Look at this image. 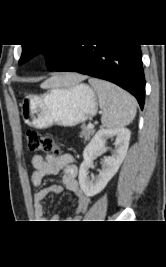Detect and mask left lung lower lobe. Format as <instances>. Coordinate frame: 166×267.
<instances>
[{"label": "left lung lower lobe", "mask_w": 166, "mask_h": 267, "mask_svg": "<svg viewBox=\"0 0 166 267\" xmlns=\"http://www.w3.org/2000/svg\"><path fill=\"white\" fill-rule=\"evenodd\" d=\"M51 71H71L110 81L130 92L143 108L145 77L140 45L68 44Z\"/></svg>", "instance_id": "left-lung-lower-lobe-1"}]
</instances>
